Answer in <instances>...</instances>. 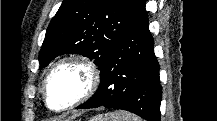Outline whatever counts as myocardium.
<instances>
[{
  "instance_id": "f54148a6",
  "label": "myocardium",
  "mask_w": 217,
  "mask_h": 121,
  "mask_svg": "<svg viewBox=\"0 0 217 121\" xmlns=\"http://www.w3.org/2000/svg\"><path fill=\"white\" fill-rule=\"evenodd\" d=\"M76 66L84 69L88 75V83L85 90L71 103L61 108H54L49 99V83L53 75L61 68ZM101 81L100 71L97 64L90 58L83 55H71L56 62L48 71L43 81V99L48 108L54 112H64L70 110L87 99H89L98 89Z\"/></svg>"
}]
</instances>
